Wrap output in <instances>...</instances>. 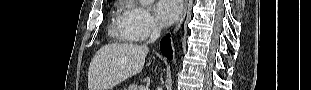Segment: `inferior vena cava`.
<instances>
[{"instance_id":"inferior-vena-cava-1","label":"inferior vena cava","mask_w":311,"mask_h":90,"mask_svg":"<svg viewBox=\"0 0 311 90\" xmlns=\"http://www.w3.org/2000/svg\"><path fill=\"white\" fill-rule=\"evenodd\" d=\"M160 33H161V28L157 25H154L152 32H151V35H150L149 42H151V43L155 42L159 38Z\"/></svg>"}]
</instances>
